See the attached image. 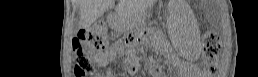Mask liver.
I'll list each match as a JSON object with an SVG mask.
<instances>
[{
  "label": "liver",
  "mask_w": 258,
  "mask_h": 77,
  "mask_svg": "<svg viewBox=\"0 0 258 77\" xmlns=\"http://www.w3.org/2000/svg\"><path fill=\"white\" fill-rule=\"evenodd\" d=\"M115 0H81L80 1V25L83 28L89 27L100 16L114 6ZM119 16L126 18L130 14V7L126 0H119L116 6Z\"/></svg>",
  "instance_id": "liver-1"
}]
</instances>
